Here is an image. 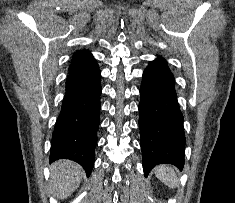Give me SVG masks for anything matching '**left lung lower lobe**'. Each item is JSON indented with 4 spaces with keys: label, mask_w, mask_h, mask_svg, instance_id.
I'll return each instance as SVG.
<instances>
[{
    "label": "left lung lower lobe",
    "mask_w": 235,
    "mask_h": 203,
    "mask_svg": "<svg viewBox=\"0 0 235 203\" xmlns=\"http://www.w3.org/2000/svg\"><path fill=\"white\" fill-rule=\"evenodd\" d=\"M174 82L163 58L151 61L143 73L139 128L145 176L158 164L184 166L186 139Z\"/></svg>",
    "instance_id": "obj_1"
}]
</instances>
